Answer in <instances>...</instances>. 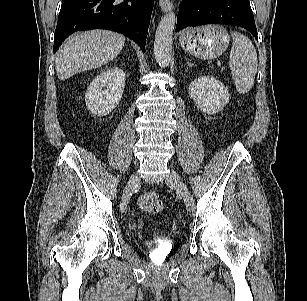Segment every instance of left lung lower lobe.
Returning a JSON list of instances; mask_svg holds the SVG:
<instances>
[{
	"label": "left lung lower lobe",
	"instance_id": "0a47b994",
	"mask_svg": "<svg viewBox=\"0 0 307 301\" xmlns=\"http://www.w3.org/2000/svg\"><path fill=\"white\" fill-rule=\"evenodd\" d=\"M203 24L240 26L258 40L249 0H184L179 9L176 31Z\"/></svg>",
	"mask_w": 307,
	"mask_h": 301
}]
</instances>
